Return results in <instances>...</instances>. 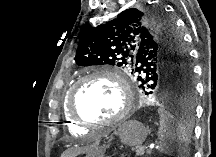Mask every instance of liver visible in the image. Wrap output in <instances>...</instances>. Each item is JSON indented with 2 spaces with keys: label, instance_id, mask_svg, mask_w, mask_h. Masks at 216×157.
Instances as JSON below:
<instances>
[{
  "label": "liver",
  "instance_id": "1",
  "mask_svg": "<svg viewBox=\"0 0 216 157\" xmlns=\"http://www.w3.org/2000/svg\"><path fill=\"white\" fill-rule=\"evenodd\" d=\"M99 141H100V138H97L95 140V143L91 145L90 147L69 149L65 151L61 157H76L79 154L89 153L99 144Z\"/></svg>",
  "mask_w": 216,
  "mask_h": 157
}]
</instances>
